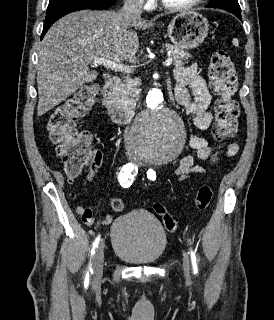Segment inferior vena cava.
<instances>
[{
    "mask_svg": "<svg viewBox=\"0 0 274 320\" xmlns=\"http://www.w3.org/2000/svg\"><path fill=\"white\" fill-rule=\"evenodd\" d=\"M143 0H125L124 6L119 10V16H121L122 24H128L133 22L135 18H141V8Z\"/></svg>",
    "mask_w": 274,
    "mask_h": 320,
    "instance_id": "602c4592",
    "label": "inferior vena cava"
}]
</instances>
